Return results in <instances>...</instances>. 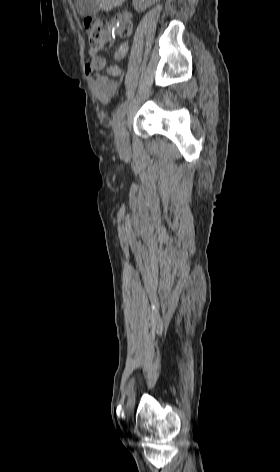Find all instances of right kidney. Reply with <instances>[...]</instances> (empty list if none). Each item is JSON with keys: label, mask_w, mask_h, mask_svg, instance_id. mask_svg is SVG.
Masks as SVG:
<instances>
[{"label": "right kidney", "mask_w": 280, "mask_h": 472, "mask_svg": "<svg viewBox=\"0 0 280 472\" xmlns=\"http://www.w3.org/2000/svg\"><path fill=\"white\" fill-rule=\"evenodd\" d=\"M158 0H133L134 8L136 11H144L148 7L152 6Z\"/></svg>", "instance_id": "right-kidney-1"}]
</instances>
